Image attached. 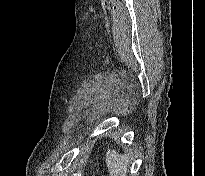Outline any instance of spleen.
Masks as SVG:
<instances>
[{
    "label": "spleen",
    "instance_id": "obj_1",
    "mask_svg": "<svg viewBox=\"0 0 205 176\" xmlns=\"http://www.w3.org/2000/svg\"><path fill=\"white\" fill-rule=\"evenodd\" d=\"M129 164V155H119L115 151H107L106 165L110 176H126Z\"/></svg>",
    "mask_w": 205,
    "mask_h": 176
}]
</instances>
